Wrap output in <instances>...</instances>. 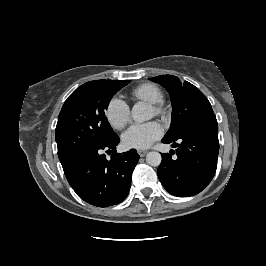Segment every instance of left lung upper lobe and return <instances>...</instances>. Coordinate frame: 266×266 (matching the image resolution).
Returning a JSON list of instances; mask_svg holds the SVG:
<instances>
[{
  "instance_id": "left-lung-upper-lobe-1",
  "label": "left lung upper lobe",
  "mask_w": 266,
  "mask_h": 266,
  "mask_svg": "<svg viewBox=\"0 0 266 266\" xmlns=\"http://www.w3.org/2000/svg\"><path fill=\"white\" fill-rule=\"evenodd\" d=\"M150 80L165 87L172 100L171 126L164 139H176L193 126L215 118L206 96L191 83H181L179 78L173 75H161Z\"/></svg>"
}]
</instances>
